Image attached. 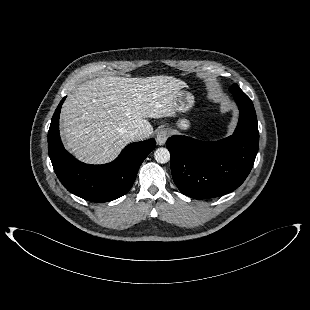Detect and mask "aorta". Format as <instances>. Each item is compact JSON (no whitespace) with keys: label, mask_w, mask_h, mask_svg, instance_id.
Returning <instances> with one entry per match:
<instances>
[{"label":"aorta","mask_w":310,"mask_h":310,"mask_svg":"<svg viewBox=\"0 0 310 310\" xmlns=\"http://www.w3.org/2000/svg\"><path fill=\"white\" fill-rule=\"evenodd\" d=\"M154 157L158 163L164 164L170 160V152L167 148L161 147L155 150Z\"/></svg>","instance_id":"aorta-1"}]
</instances>
